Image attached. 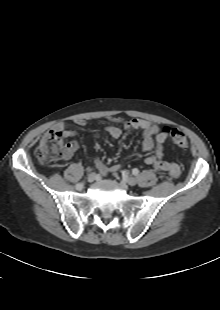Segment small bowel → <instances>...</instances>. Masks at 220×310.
<instances>
[{
  "mask_svg": "<svg viewBox=\"0 0 220 310\" xmlns=\"http://www.w3.org/2000/svg\"><path fill=\"white\" fill-rule=\"evenodd\" d=\"M111 121L122 125L124 130H139L142 133L141 149L143 152H150L152 154L144 159L146 165L153 166L157 171L167 173L171 177L177 178L181 173L180 166L175 162H168L163 160L164 144L169 138V135L161 130V128L148 120L134 118L131 120H124L122 118H111ZM75 123L78 126H85L84 119H76ZM122 128L111 125L107 127V132L112 139H118L122 135ZM54 129L62 132L64 138H72L77 135V131L67 127L65 122H59ZM79 144L73 140L67 144L68 153L66 158H70L77 150ZM95 165L101 174L106 175L119 169L118 165H106L102 160L97 158Z\"/></svg>",
  "mask_w": 220,
  "mask_h": 310,
  "instance_id": "obj_1",
  "label": "small bowel"
}]
</instances>
